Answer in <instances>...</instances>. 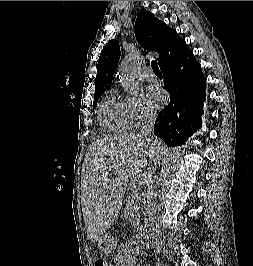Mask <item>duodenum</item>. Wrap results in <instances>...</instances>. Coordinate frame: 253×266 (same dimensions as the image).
I'll return each instance as SVG.
<instances>
[{"instance_id":"1","label":"duodenum","mask_w":253,"mask_h":266,"mask_svg":"<svg viewBox=\"0 0 253 266\" xmlns=\"http://www.w3.org/2000/svg\"><path fill=\"white\" fill-rule=\"evenodd\" d=\"M122 266H129V259L128 258H124V260L122 262Z\"/></svg>"}]
</instances>
